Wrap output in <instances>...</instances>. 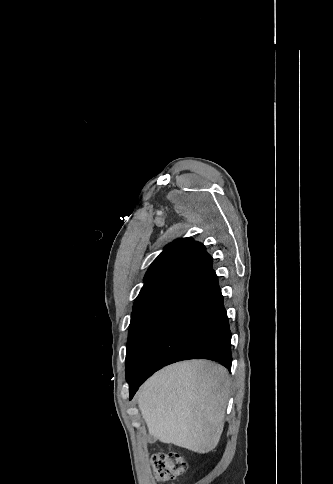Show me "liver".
Returning a JSON list of instances; mask_svg holds the SVG:
<instances>
[{"mask_svg": "<svg viewBox=\"0 0 333 484\" xmlns=\"http://www.w3.org/2000/svg\"><path fill=\"white\" fill-rule=\"evenodd\" d=\"M229 387L223 366L185 361L150 377L141 386L137 402L154 439L205 454L220 440Z\"/></svg>", "mask_w": 333, "mask_h": 484, "instance_id": "1", "label": "liver"}]
</instances>
